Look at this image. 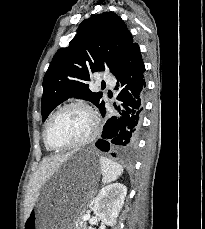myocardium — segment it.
<instances>
[{
	"instance_id": "1",
	"label": "myocardium",
	"mask_w": 205,
	"mask_h": 229,
	"mask_svg": "<svg viewBox=\"0 0 205 229\" xmlns=\"http://www.w3.org/2000/svg\"><path fill=\"white\" fill-rule=\"evenodd\" d=\"M69 108H80V109L84 110L86 113H88V115L90 116L91 121H92L91 130H90L89 134L84 139H82L76 143L65 145V146H55L51 143L50 138H49V133H50L51 127L54 124L57 117L63 111H65ZM98 130H99V118H98L97 114L95 113V111L90 106H88L87 104L80 102V101L69 102V103L64 104L60 108H58L53 113V115L50 117V119L46 125L45 131H44V142H45L46 146L52 151L70 150V149L85 146L88 143H90L96 137Z\"/></svg>"
}]
</instances>
